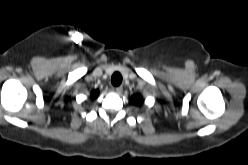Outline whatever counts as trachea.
<instances>
[{"mask_svg": "<svg viewBox=\"0 0 248 165\" xmlns=\"http://www.w3.org/2000/svg\"><path fill=\"white\" fill-rule=\"evenodd\" d=\"M111 83L114 86H119L122 83V75L119 72H115L111 77Z\"/></svg>", "mask_w": 248, "mask_h": 165, "instance_id": "3493384b", "label": "trachea"}]
</instances>
